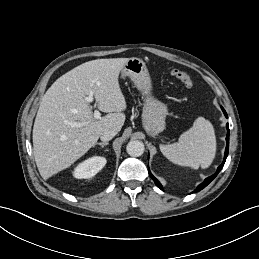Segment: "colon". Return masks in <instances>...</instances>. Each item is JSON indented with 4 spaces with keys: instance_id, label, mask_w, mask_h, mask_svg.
I'll use <instances>...</instances> for the list:
<instances>
[{
    "instance_id": "5ec220e1",
    "label": "colon",
    "mask_w": 259,
    "mask_h": 259,
    "mask_svg": "<svg viewBox=\"0 0 259 259\" xmlns=\"http://www.w3.org/2000/svg\"><path fill=\"white\" fill-rule=\"evenodd\" d=\"M171 75L178 79L185 88L191 90L195 87V81L187 72L180 69H173Z\"/></svg>"
}]
</instances>
